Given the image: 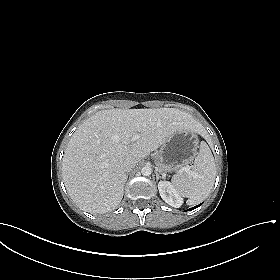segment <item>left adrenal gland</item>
I'll return each instance as SVG.
<instances>
[{
  "mask_svg": "<svg viewBox=\"0 0 280 280\" xmlns=\"http://www.w3.org/2000/svg\"><path fill=\"white\" fill-rule=\"evenodd\" d=\"M155 174H156V179L157 180H159V178H163L164 179V177L160 176V174L157 171L155 172Z\"/></svg>",
  "mask_w": 280,
  "mask_h": 280,
  "instance_id": "a2214340",
  "label": "left adrenal gland"
}]
</instances>
